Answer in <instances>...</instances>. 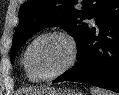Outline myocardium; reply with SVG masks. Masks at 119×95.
<instances>
[{"label":"myocardium","mask_w":119,"mask_h":95,"mask_svg":"<svg viewBox=\"0 0 119 95\" xmlns=\"http://www.w3.org/2000/svg\"><path fill=\"white\" fill-rule=\"evenodd\" d=\"M51 36H58V37L63 38L64 40H66L70 47V55H69L67 62L58 71H56L55 73L48 75V76H40V75H37L33 71L32 67L30 65V53H31L33 46L39 40L46 38V37H51ZM77 57H78V44H77V41L75 40V38L66 31L52 30V31L42 33L32 40V42L29 44V46L27 47L25 54H24V65H25V68H26L27 72L29 73V75L32 78H34L35 80L50 81V80L56 79L57 77L61 76L65 72H67L76 63Z\"/></svg>","instance_id":"f54148a6"}]
</instances>
